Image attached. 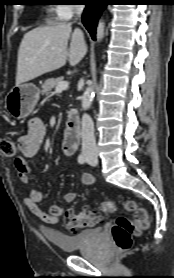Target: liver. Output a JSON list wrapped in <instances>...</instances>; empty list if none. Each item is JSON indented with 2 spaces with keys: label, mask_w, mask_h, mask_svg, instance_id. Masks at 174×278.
<instances>
[{
  "label": "liver",
  "mask_w": 174,
  "mask_h": 278,
  "mask_svg": "<svg viewBox=\"0 0 174 278\" xmlns=\"http://www.w3.org/2000/svg\"><path fill=\"white\" fill-rule=\"evenodd\" d=\"M71 37L70 47L67 49ZM87 45L82 30L69 23L37 27L27 32L20 43L16 85L31 81L65 65L75 66L85 55Z\"/></svg>",
  "instance_id": "obj_1"
}]
</instances>
